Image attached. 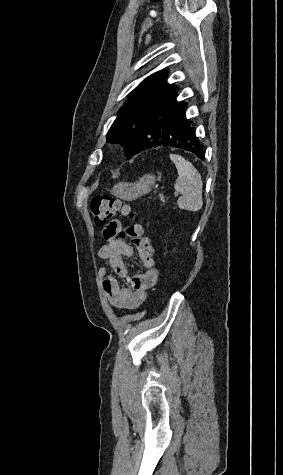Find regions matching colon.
<instances>
[{"instance_id": "colon-1", "label": "colon", "mask_w": 283, "mask_h": 475, "mask_svg": "<svg viewBox=\"0 0 283 475\" xmlns=\"http://www.w3.org/2000/svg\"><path fill=\"white\" fill-rule=\"evenodd\" d=\"M90 212L98 227L108 224V221L116 214H120L126 219H135V212L130 205L111 195L95 196L90 203ZM120 228L119 237L128 239L136 247L138 256L146 268H153V248L150 238L144 233L142 224L130 221L121 223ZM103 234L105 233L103 232Z\"/></svg>"}]
</instances>
